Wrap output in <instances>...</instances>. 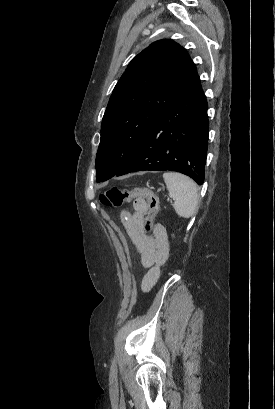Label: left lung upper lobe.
Instances as JSON below:
<instances>
[{"mask_svg": "<svg viewBox=\"0 0 275 409\" xmlns=\"http://www.w3.org/2000/svg\"><path fill=\"white\" fill-rule=\"evenodd\" d=\"M200 84L187 51L172 40L156 41L136 55L102 120L97 182L116 175L156 121Z\"/></svg>", "mask_w": 275, "mask_h": 409, "instance_id": "5c2ea615", "label": "left lung upper lobe"}]
</instances>
